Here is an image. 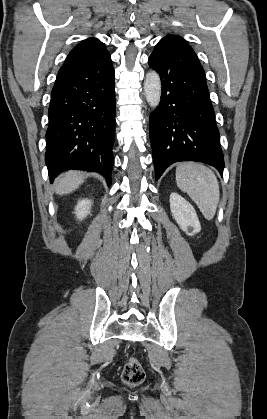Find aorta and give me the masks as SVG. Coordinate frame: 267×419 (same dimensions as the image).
<instances>
[{
	"instance_id": "obj_1",
	"label": "aorta",
	"mask_w": 267,
	"mask_h": 419,
	"mask_svg": "<svg viewBox=\"0 0 267 419\" xmlns=\"http://www.w3.org/2000/svg\"><path fill=\"white\" fill-rule=\"evenodd\" d=\"M144 94L151 107L156 108L159 105L161 98V81L155 70H150L146 74L144 81Z\"/></svg>"
}]
</instances>
